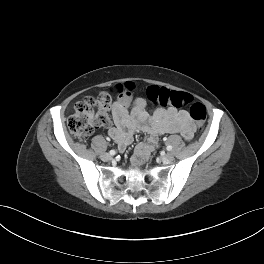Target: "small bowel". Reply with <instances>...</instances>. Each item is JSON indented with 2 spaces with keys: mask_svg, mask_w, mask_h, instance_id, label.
<instances>
[{
  "mask_svg": "<svg viewBox=\"0 0 264 264\" xmlns=\"http://www.w3.org/2000/svg\"><path fill=\"white\" fill-rule=\"evenodd\" d=\"M129 104V99L114 102L112 112L115 126L110 128L109 134L120 151H124L132 143V135L136 130L149 134L148 141L135 148L132 157L135 166H141L147 161L161 134L179 133L187 141L193 138L196 127L187 111L167 108L148 116L144 99L137 98L134 101L131 113L128 112Z\"/></svg>",
  "mask_w": 264,
  "mask_h": 264,
  "instance_id": "1",
  "label": "small bowel"
}]
</instances>
